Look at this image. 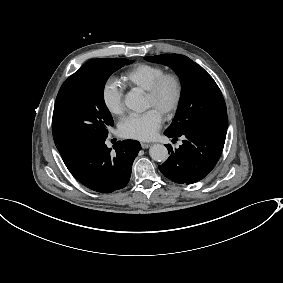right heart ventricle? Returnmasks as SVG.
<instances>
[{
  "label": "right heart ventricle",
  "mask_w": 283,
  "mask_h": 283,
  "mask_svg": "<svg viewBox=\"0 0 283 283\" xmlns=\"http://www.w3.org/2000/svg\"><path fill=\"white\" fill-rule=\"evenodd\" d=\"M164 73L165 69L162 66L142 62L126 68L122 73V79L128 86L147 90Z\"/></svg>",
  "instance_id": "e07e8e85"
}]
</instances>
